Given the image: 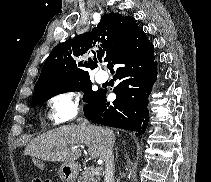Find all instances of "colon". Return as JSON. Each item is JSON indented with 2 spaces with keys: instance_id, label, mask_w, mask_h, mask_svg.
<instances>
[{
  "instance_id": "5ec220e1",
  "label": "colon",
  "mask_w": 211,
  "mask_h": 182,
  "mask_svg": "<svg viewBox=\"0 0 211 182\" xmlns=\"http://www.w3.org/2000/svg\"><path fill=\"white\" fill-rule=\"evenodd\" d=\"M36 182H54V181L51 179H39V180H36Z\"/></svg>"
}]
</instances>
